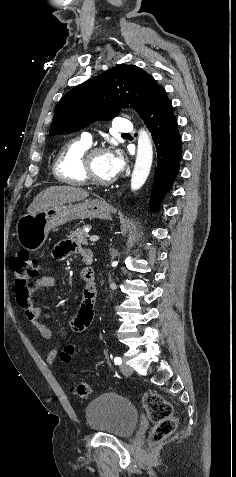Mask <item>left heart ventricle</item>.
Instances as JSON below:
<instances>
[{
    "instance_id": "1",
    "label": "left heart ventricle",
    "mask_w": 236,
    "mask_h": 477,
    "mask_svg": "<svg viewBox=\"0 0 236 477\" xmlns=\"http://www.w3.org/2000/svg\"><path fill=\"white\" fill-rule=\"evenodd\" d=\"M92 175L100 180H110L107 153H100L92 157L89 163Z\"/></svg>"
}]
</instances>
